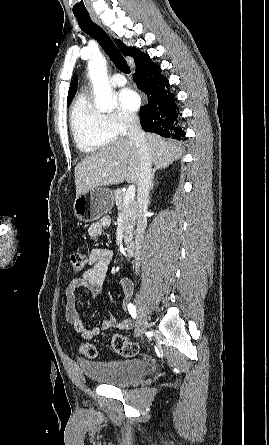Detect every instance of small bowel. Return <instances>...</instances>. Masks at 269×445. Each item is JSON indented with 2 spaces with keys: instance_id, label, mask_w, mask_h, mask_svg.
Segmentation results:
<instances>
[{
  "instance_id": "small-bowel-1",
  "label": "small bowel",
  "mask_w": 269,
  "mask_h": 445,
  "mask_svg": "<svg viewBox=\"0 0 269 445\" xmlns=\"http://www.w3.org/2000/svg\"><path fill=\"white\" fill-rule=\"evenodd\" d=\"M108 219L102 218L100 221L93 223L89 229V235L99 237L102 235L105 227L108 225ZM113 259V252L107 248H95L88 256V269L84 271L81 277L74 278L66 287V320L74 329L85 339H91L99 335L102 331L118 328L129 329L132 325L130 318L126 317L121 321L110 317L102 321L99 326L88 328L81 318L76 306V291L80 288L87 289L95 298L100 294L101 287L105 281L109 265ZM120 286L125 294L123 302V310L128 307V300L133 293V286L128 278L120 280Z\"/></svg>"
}]
</instances>
